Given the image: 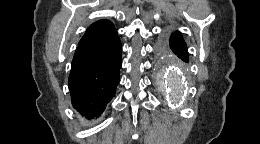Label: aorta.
I'll use <instances>...</instances> for the list:
<instances>
[{"instance_id": "aorta-1", "label": "aorta", "mask_w": 260, "mask_h": 144, "mask_svg": "<svg viewBox=\"0 0 260 144\" xmlns=\"http://www.w3.org/2000/svg\"><path fill=\"white\" fill-rule=\"evenodd\" d=\"M164 87L168 90L171 98L178 99L181 97L184 89V83L178 69L172 65H167L163 70Z\"/></svg>"}]
</instances>
